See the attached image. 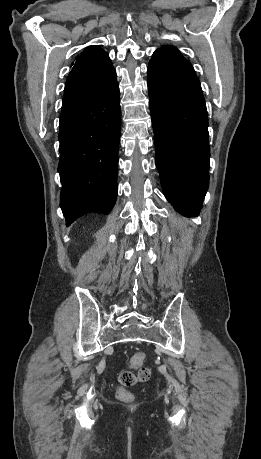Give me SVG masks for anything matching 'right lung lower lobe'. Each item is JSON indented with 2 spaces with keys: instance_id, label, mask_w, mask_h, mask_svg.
<instances>
[{
  "instance_id": "right-lung-lower-lobe-1",
  "label": "right lung lower lobe",
  "mask_w": 261,
  "mask_h": 459,
  "mask_svg": "<svg viewBox=\"0 0 261 459\" xmlns=\"http://www.w3.org/2000/svg\"><path fill=\"white\" fill-rule=\"evenodd\" d=\"M121 110L118 82L60 116V206L69 226L86 213L109 214L117 198Z\"/></svg>"
}]
</instances>
